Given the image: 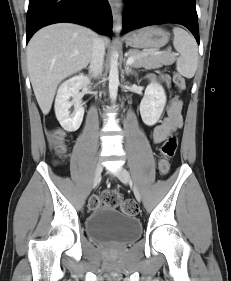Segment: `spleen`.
<instances>
[{
	"label": "spleen",
	"instance_id": "spleen-1",
	"mask_svg": "<svg viewBox=\"0 0 231 281\" xmlns=\"http://www.w3.org/2000/svg\"><path fill=\"white\" fill-rule=\"evenodd\" d=\"M173 46L180 54L176 62L178 73L186 78H192L198 66V47L192 35L182 28L173 29Z\"/></svg>",
	"mask_w": 231,
	"mask_h": 281
}]
</instances>
